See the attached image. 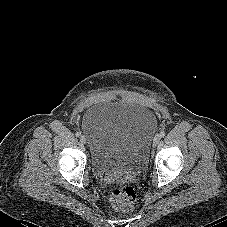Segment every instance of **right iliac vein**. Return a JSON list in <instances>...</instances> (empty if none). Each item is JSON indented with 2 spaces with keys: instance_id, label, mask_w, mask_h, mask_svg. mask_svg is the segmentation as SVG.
Returning a JSON list of instances; mask_svg holds the SVG:
<instances>
[{
  "instance_id": "right-iliac-vein-1",
  "label": "right iliac vein",
  "mask_w": 227,
  "mask_h": 227,
  "mask_svg": "<svg viewBox=\"0 0 227 227\" xmlns=\"http://www.w3.org/2000/svg\"><path fill=\"white\" fill-rule=\"evenodd\" d=\"M80 141H81L83 144H85V143H86V137H85L84 135H82V136L80 137Z\"/></svg>"
}]
</instances>
